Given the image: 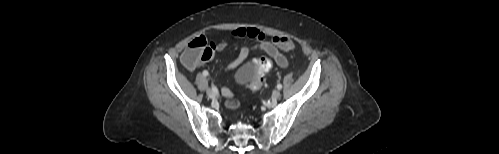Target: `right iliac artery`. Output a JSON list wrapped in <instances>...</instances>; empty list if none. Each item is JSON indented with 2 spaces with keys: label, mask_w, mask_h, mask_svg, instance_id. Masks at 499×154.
I'll return each instance as SVG.
<instances>
[{
  "label": "right iliac artery",
  "mask_w": 499,
  "mask_h": 154,
  "mask_svg": "<svg viewBox=\"0 0 499 154\" xmlns=\"http://www.w3.org/2000/svg\"><path fill=\"white\" fill-rule=\"evenodd\" d=\"M203 75L204 76H208V72L207 71H203ZM212 89L214 90L215 88L213 87Z\"/></svg>",
  "instance_id": "right-iliac-artery-1"
}]
</instances>
